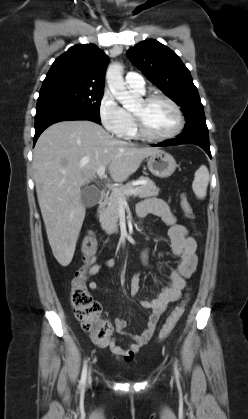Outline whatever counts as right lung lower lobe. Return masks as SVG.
I'll list each match as a JSON object with an SVG mask.
<instances>
[{
	"label": "right lung lower lobe",
	"mask_w": 248,
	"mask_h": 419,
	"mask_svg": "<svg viewBox=\"0 0 248 419\" xmlns=\"http://www.w3.org/2000/svg\"><path fill=\"white\" fill-rule=\"evenodd\" d=\"M66 120H89L100 124L97 119L90 114L78 109H53L36 113L35 116V136L34 145L40 134L50 125Z\"/></svg>",
	"instance_id": "right-lung-lower-lobe-1"
}]
</instances>
